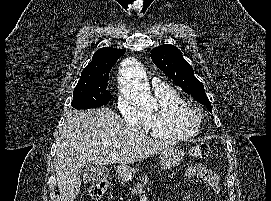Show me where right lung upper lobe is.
<instances>
[{"label":"right lung upper lobe","mask_w":271,"mask_h":201,"mask_svg":"<svg viewBox=\"0 0 271 201\" xmlns=\"http://www.w3.org/2000/svg\"><path fill=\"white\" fill-rule=\"evenodd\" d=\"M125 51L126 49H115L112 47H104L97 50L92 57V61L83 69L81 78L109 75L117 59Z\"/></svg>","instance_id":"right-lung-upper-lobe-1"}]
</instances>
